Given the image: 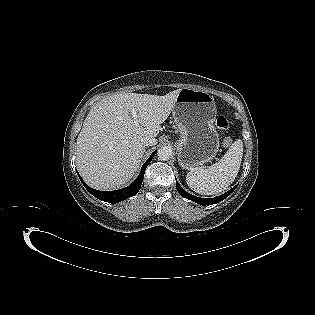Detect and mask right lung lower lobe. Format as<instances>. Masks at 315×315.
<instances>
[{"label":"right lung lower lobe","instance_id":"obj_1","mask_svg":"<svg viewBox=\"0 0 315 315\" xmlns=\"http://www.w3.org/2000/svg\"><path fill=\"white\" fill-rule=\"evenodd\" d=\"M156 151L152 153V155L149 157V159L143 164L140 174L137 177V179L128 187L123 188V189H119L116 191H98L95 190L91 187H89L81 178V176L78 174L82 184L84 185V187L96 198L108 202V203H117L120 202L124 199H127L129 197L134 196L140 189L141 184L143 182V177H144V173H145V169L146 167L149 165V163L151 162L152 158L154 157Z\"/></svg>","mask_w":315,"mask_h":315}]
</instances>
